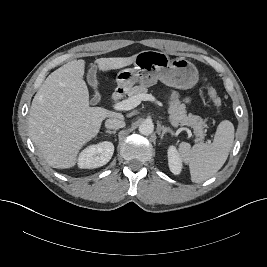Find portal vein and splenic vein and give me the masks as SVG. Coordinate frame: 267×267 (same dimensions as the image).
Listing matches in <instances>:
<instances>
[{
	"label": "portal vein and splenic vein",
	"instance_id": "obj_1",
	"mask_svg": "<svg viewBox=\"0 0 267 267\" xmlns=\"http://www.w3.org/2000/svg\"><path fill=\"white\" fill-rule=\"evenodd\" d=\"M141 101H152L157 104H160L158 100L151 94H139L133 96L132 98L117 102L113 105V108L118 111L131 110L137 107Z\"/></svg>",
	"mask_w": 267,
	"mask_h": 267
}]
</instances>
